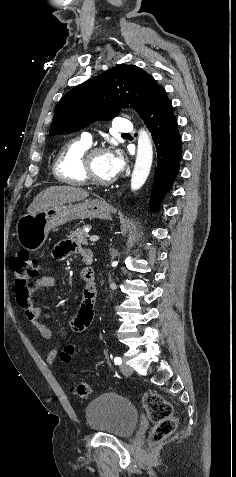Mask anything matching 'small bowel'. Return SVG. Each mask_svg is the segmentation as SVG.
<instances>
[{
	"mask_svg": "<svg viewBox=\"0 0 236 477\" xmlns=\"http://www.w3.org/2000/svg\"><path fill=\"white\" fill-rule=\"evenodd\" d=\"M79 252L82 254L83 260L86 264L89 258H93L91 253L82 250L76 243L69 240L59 242L53 250V256L57 260H64ZM82 277L86 281L87 286L84 290L83 299L78 308L77 314L71 322L72 329L78 333L89 331L95 316L96 289L93 284L90 283L91 278L94 277V273L91 269L86 267L82 271ZM57 285L58 281L55 277L43 276L36 281L34 291L40 289H53L56 288ZM17 301L40 335L47 340H51L53 338V331L48 324L42 321L41 317L43 309L33 299L32 291L19 295ZM58 354L59 352L56 348L51 349L47 355V362L53 364L56 361Z\"/></svg>",
	"mask_w": 236,
	"mask_h": 477,
	"instance_id": "obj_1",
	"label": "small bowel"
}]
</instances>
